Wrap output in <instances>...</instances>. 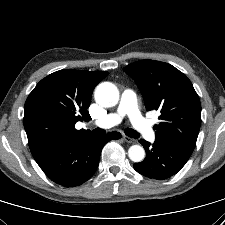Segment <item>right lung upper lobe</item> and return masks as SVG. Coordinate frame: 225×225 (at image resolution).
Listing matches in <instances>:
<instances>
[{"label": "right lung upper lobe", "instance_id": "right-lung-upper-lobe-1", "mask_svg": "<svg viewBox=\"0 0 225 225\" xmlns=\"http://www.w3.org/2000/svg\"><path fill=\"white\" fill-rule=\"evenodd\" d=\"M107 75V71L64 69L36 85L25 102L23 119L32 155L62 138L92 133L76 130L75 123L91 119L87 107L93 89Z\"/></svg>", "mask_w": 225, "mask_h": 225}]
</instances>
